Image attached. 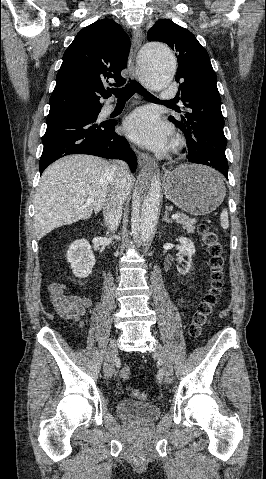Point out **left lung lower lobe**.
I'll return each instance as SVG.
<instances>
[{
  "label": "left lung lower lobe",
  "instance_id": "0a47b994",
  "mask_svg": "<svg viewBox=\"0 0 266 479\" xmlns=\"http://www.w3.org/2000/svg\"><path fill=\"white\" fill-rule=\"evenodd\" d=\"M183 152H185V150H184ZM187 157H188V161H189V162L197 163V162L191 160L188 155H187ZM208 166H209V165H208ZM211 167L216 168L217 170L221 171L222 174H223L226 178H228V174H227V173H228V164H223V163H221V162H217V163L213 164Z\"/></svg>",
  "mask_w": 266,
  "mask_h": 479
}]
</instances>
